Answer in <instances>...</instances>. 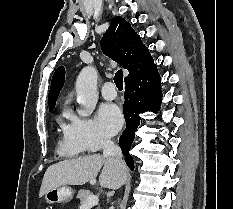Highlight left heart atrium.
<instances>
[{"label":"left heart atrium","instance_id":"39dd6f15","mask_svg":"<svg viewBox=\"0 0 233 209\" xmlns=\"http://www.w3.org/2000/svg\"><path fill=\"white\" fill-rule=\"evenodd\" d=\"M122 124L123 117L117 105L111 103L101 105L97 115V125L103 134L114 135Z\"/></svg>","mask_w":233,"mask_h":209}]
</instances>
